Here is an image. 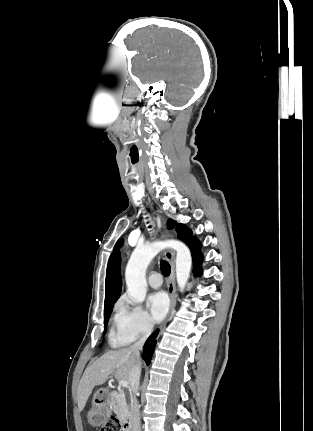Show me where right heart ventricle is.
<instances>
[{
    "instance_id": "1",
    "label": "right heart ventricle",
    "mask_w": 313,
    "mask_h": 431,
    "mask_svg": "<svg viewBox=\"0 0 313 431\" xmlns=\"http://www.w3.org/2000/svg\"><path fill=\"white\" fill-rule=\"evenodd\" d=\"M118 317L119 313L117 311L115 317H114V329L111 332L110 335V341L113 345L119 346V345H125L130 343L133 339L126 334L118 325Z\"/></svg>"
}]
</instances>
